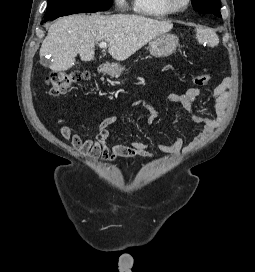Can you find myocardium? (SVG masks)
<instances>
[{
    "instance_id": "1",
    "label": "myocardium",
    "mask_w": 255,
    "mask_h": 272,
    "mask_svg": "<svg viewBox=\"0 0 255 272\" xmlns=\"http://www.w3.org/2000/svg\"><path fill=\"white\" fill-rule=\"evenodd\" d=\"M164 7L171 13L184 12L190 5L191 0H184L183 4L178 5L175 0H162Z\"/></svg>"
}]
</instances>
